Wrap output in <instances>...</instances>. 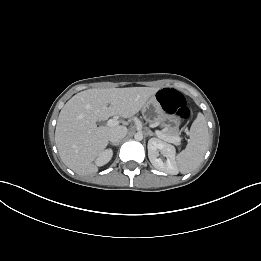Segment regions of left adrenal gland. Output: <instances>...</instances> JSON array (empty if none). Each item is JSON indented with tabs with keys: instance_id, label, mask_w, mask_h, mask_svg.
Here are the masks:
<instances>
[{
	"instance_id": "left-adrenal-gland-1",
	"label": "left adrenal gland",
	"mask_w": 261,
	"mask_h": 261,
	"mask_svg": "<svg viewBox=\"0 0 261 261\" xmlns=\"http://www.w3.org/2000/svg\"><path fill=\"white\" fill-rule=\"evenodd\" d=\"M147 135H148V136H154V133H153L151 130L148 129V130H147Z\"/></svg>"
}]
</instances>
